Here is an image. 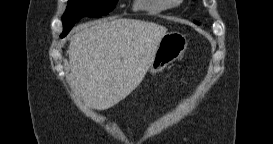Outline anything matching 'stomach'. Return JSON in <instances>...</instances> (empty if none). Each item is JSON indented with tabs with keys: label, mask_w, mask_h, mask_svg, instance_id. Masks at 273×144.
<instances>
[{
	"label": "stomach",
	"mask_w": 273,
	"mask_h": 144,
	"mask_svg": "<svg viewBox=\"0 0 273 144\" xmlns=\"http://www.w3.org/2000/svg\"><path fill=\"white\" fill-rule=\"evenodd\" d=\"M188 41L184 34L172 31L166 33L155 52L149 66V72L156 74L180 58L187 48Z\"/></svg>",
	"instance_id": "1"
}]
</instances>
